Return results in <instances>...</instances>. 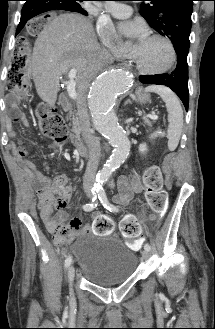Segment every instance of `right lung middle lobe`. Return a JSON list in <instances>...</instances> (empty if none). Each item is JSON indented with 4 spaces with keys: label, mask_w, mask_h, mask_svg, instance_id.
Listing matches in <instances>:
<instances>
[{
    "label": "right lung middle lobe",
    "mask_w": 215,
    "mask_h": 329,
    "mask_svg": "<svg viewBox=\"0 0 215 329\" xmlns=\"http://www.w3.org/2000/svg\"><path fill=\"white\" fill-rule=\"evenodd\" d=\"M69 4L75 9V10H84V7L82 6V2L85 0H67Z\"/></svg>",
    "instance_id": "1"
}]
</instances>
